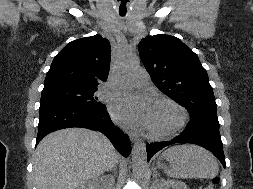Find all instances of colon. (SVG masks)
Wrapping results in <instances>:
<instances>
[{"label":"colon","instance_id":"1","mask_svg":"<svg viewBox=\"0 0 253 189\" xmlns=\"http://www.w3.org/2000/svg\"><path fill=\"white\" fill-rule=\"evenodd\" d=\"M215 182H216V180L212 179V180L208 181L206 184H204L200 189H213Z\"/></svg>","mask_w":253,"mask_h":189}]
</instances>
